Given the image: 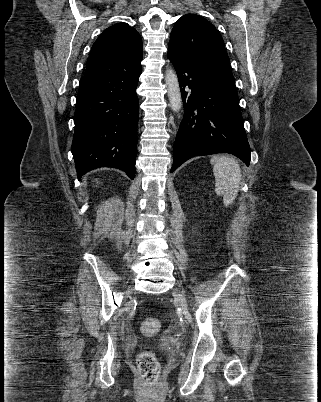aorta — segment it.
Segmentation results:
<instances>
[{
  "label": "aorta",
  "mask_w": 321,
  "mask_h": 402,
  "mask_svg": "<svg viewBox=\"0 0 321 402\" xmlns=\"http://www.w3.org/2000/svg\"><path fill=\"white\" fill-rule=\"evenodd\" d=\"M167 94L170 107L174 112H179L182 107V97L177 75L173 69H168L165 75Z\"/></svg>",
  "instance_id": "aorta-1"
}]
</instances>
